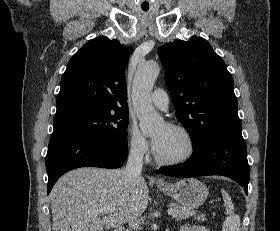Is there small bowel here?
Returning <instances> with one entry per match:
<instances>
[{
  "label": "small bowel",
  "instance_id": "small-bowel-1",
  "mask_svg": "<svg viewBox=\"0 0 280 231\" xmlns=\"http://www.w3.org/2000/svg\"><path fill=\"white\" fill-rule=\"evenodd\" d=\"M181 231H208V229L200 225H185Z\"/></svg>",
  "mask_w": 280,
  "mask_h": 231
}]
</instances>
